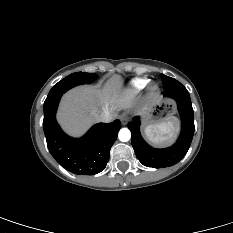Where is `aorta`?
<instances>
[{"label": "aorta", "mask_w": 233, "mask_h": 233, "mask_svg": "<svg viewBox=\"0 0 233 233\" xmlns=\"http://www.w3.org/2000/svg\"><path fill=\"white\" fill-rule=\"evenodd\" d=\"M118 138L120 141L122 142H127L130 140L131 138V132L128 128H122L120 131H119V134H118Z\"/></svg>", "instance_id": "762f6f07"}]
</instances>
